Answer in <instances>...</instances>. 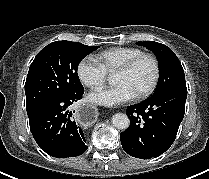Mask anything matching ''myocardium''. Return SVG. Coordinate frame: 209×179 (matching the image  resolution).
I'll use <instances>...</instances> for the list:
<instances>
[{"instance_id": "myocardium-1", "label": "myocardium", "mask_w": 209, "mask_h": 179, "mask_svg": "<svg viewBox=\"0 0 209 179\" xmlns=\"http://www.w3.org/2000/svg\"><path fill=\"white\" fill-rule=\"evenodd\" d=\"M143 59H149L153 63L154 76H153L151 84L144 91L140 92L139 94L135 96V98L137 99H143V98L148 97L155 91L158 85L161 70H160V63L157 57L150 53H141L133 57L132 59H130L128 62H126L123 66H121L115 72V74L116 73H128Z\"/></svg>"}]
</instances>
